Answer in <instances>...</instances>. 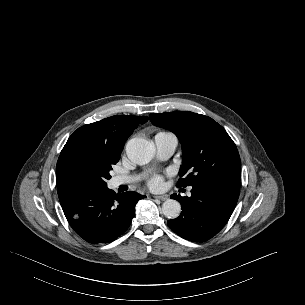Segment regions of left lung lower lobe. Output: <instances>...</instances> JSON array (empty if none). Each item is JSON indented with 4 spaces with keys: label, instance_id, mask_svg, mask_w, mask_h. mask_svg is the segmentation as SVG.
Listing matches in <instances>:
<instances>
[{
    "label": "left lung lower lobe",
    "instance_id": "left-lung-lower-lobe-1",
    "mask_svg": "<svg viewBox=\"0 0 305 305\" xmlns=\"http://www.w3.org/2000/svg\"><path fill=\"white\" fill-rule=\"evenodd\" d=\"M240 190V178L211 179L192 187L191 197L171 195L181 203L179 217L167 222L179 236L204 242L215 236L232 215Z\"/></svg>",
    "mask_w": 305,
    "mask_h": 305
}]
</instances>
